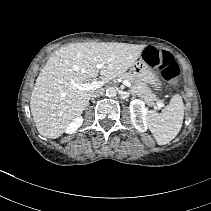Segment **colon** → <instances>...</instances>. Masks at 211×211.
I'll use <instances>...</instances> for the list:
<instances>
[{"label": "colon", "instance_id": "1", "mask_svg": "<svg viewBox=\"0 0 211 211\" xmlns=\"http://www.w3.org/2000/svg\"><path fill=\"white\" fill-rule=\"evenodd\" d=\"M144 58L149 65L160 70L167 81L172 84L176 83L180 69L170 53L149 47L144 52Z\"/></svg>", "mask_w": 211, "mask_h": 211}]
</instances>
